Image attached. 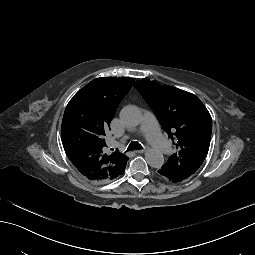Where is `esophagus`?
<instances>
[{"label": "esophagus", "instance_id": "34e87169", "mask_svg": "<svg viewBox=\"0 0 255 255\" xmlns=\"http://www.w3.org/2000/svg\"><path fill=\"white\" fill-rule=\"evenodd\" d=\"M144 152H146L145 149H141V150H136V151H135V153H144Z\"/></svg>", "mask_w": 255, "mask_h": 255}]
</instances>
